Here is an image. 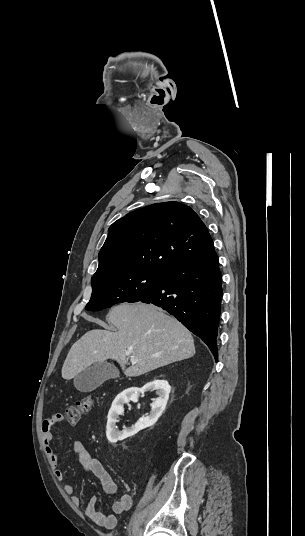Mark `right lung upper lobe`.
Here are the masks:
<instances>
[{
	"instance_id": "1",
	"label": "right lung upper lobe",
	"mask_w": 305,
	"mask_h": 536,
	"mask_svg": "<svg viewBox=\"0 0 305 536\" xmlns=\"http://www.w3.org/2000/svg\"><path fill=\"white\" fill-rule=\"evenodd\" d=\"M214 249L200 217L178 202L153 204L114 222L92 281L135 271L167 272Z\"/></svg>"
}]
</instances>
